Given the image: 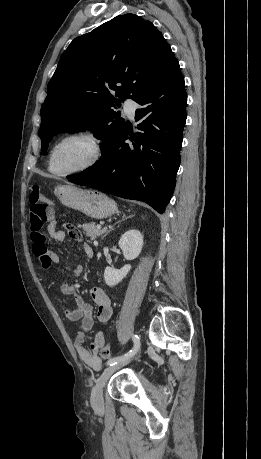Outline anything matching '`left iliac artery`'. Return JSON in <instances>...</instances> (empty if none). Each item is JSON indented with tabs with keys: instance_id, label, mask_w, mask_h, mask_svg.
Instances as JSON below:
<instances>
[{
	"instance_id": "44dca946",
	"label": "left iliac artery",
	"mask_w": 261,
	"mask_h": 459,
	"mask_svg": "<svg viewBox=\"0 0 261 459\" xmlns=\"http://www.w3.org/2000/svg\"><path fill=\"white\" fill-rule=\"evenodd\" d=\"M132 340H133V343H134L133 348L129 352L125 353L124 355L111 358L107 362V366H112V365L116 364L117 362L125 359L126 357L134 355L137 352V350L139 349V346H140V338L138 337V335L135 334V335L132 336Z\"/></svg>"
}]
</instances>
